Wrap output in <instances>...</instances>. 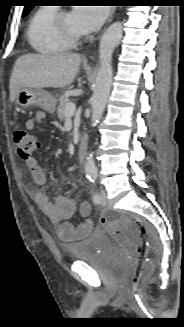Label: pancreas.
Returning <instances> with one entry per match:
<instances>
[{
	"mask_svg": "<svg viewBox=\"0 0 184 327\" xmlns=\"http://www.w3.org/2000/svg\"><path fill=\"white\" fill-rule=\"evenodd\" d=\"M71 103V100L66 97V96H61L59 98V105L57 107V115H58V118L60 120H65L66 119V115H65V107Z\"/></svg>",
	"mask_w": 184,
	"mask_h": 327,
	"instance_id": "obj_1",
	"label": "pancreas"
}]
</instances>
